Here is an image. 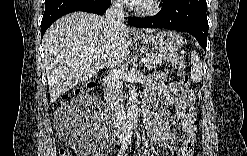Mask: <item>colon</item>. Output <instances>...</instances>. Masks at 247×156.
<instances>
[{
    "label": "colon",
    "mask_w": 247,
    "mask_h": 156,
    "mask_svg": "<svg viewBox=\"0 0 247 156\" xmlns=\"http://www.w3.org/2000/svg\"><path fill=\"white\" fill-rule=\"evenodd\" d=\"M178 76H179V84L181 88L184 90V92L186 93L188 109L190 112H194L196 110L195 109L196 96H195L194 90L191 87L190 79L188 75L183 71H180ZM96 84L97 82L95 80H90L86 82L85 84H83L82 86H80L79 88H77L73 96H70V95L63 96L62 105H66L73 98H79L87 94L89 91H91L96 86ZM68 113H69L68 110L61 112L58 115L60 120L62 119L63 122H68L69 121V118L67 116ZM59 155L60 156H70L71 154L69 153L67 148L62 146L59 148Z\"/></svg>",
    "instance_id": "1"
}]
</instances>
